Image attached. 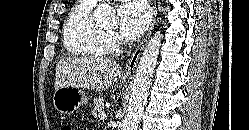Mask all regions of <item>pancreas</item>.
I'll return each instance as SVG.
<instances>
[{
	"label": "pancreas",
	"mask_w": 249,
	"mask_h": 130,
	"mask_svg": "<svg viewBox=\"0 0 249 130\" xmlns=\"http://www.w3.org/2000/svg\"><path fill=\"white\" fill-rule=\"evenodd\" d=\"M105 99L102 97L95 98L93 103L90 105L92 108V116L97 117L98 113L103 112L105 108Z\"/></svg>",
	"instance_id": "1"
}]
</instances>
